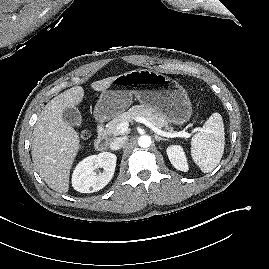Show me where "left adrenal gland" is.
Here are the masks:
<instances>
[{
	"label": "left adrenal gland",
	"mask_w": 269,
	"mask_h": 269,
	"mask_svg": "<svg viewBox=\"0 0 269 269\" xmlns=\"http://www.w3.org/2000/svg\"><path fill=\"white\" fill-rule=\"evenodd\" d=\"M155 140L156 141H168V139L162 138V137H160V136H158L156 134H155Z\"/></svg>",
	"instance_id": "1"
}]
</instances>
